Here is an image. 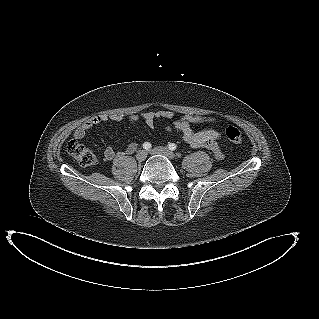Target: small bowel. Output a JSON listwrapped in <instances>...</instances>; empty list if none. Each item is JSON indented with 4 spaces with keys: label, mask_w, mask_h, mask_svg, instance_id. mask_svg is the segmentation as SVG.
<instances>
[{
    "label": "small bowel",
    "mask_w": 319,
    "mask_h": 319,
    "mask_svg": "<svg viewBox=\"0 0 319 319\" xmlns=\"http://www.w3.org/2000/svg\"><path fill=\"white\" fill-rule=\"evenodd\" d=\"M176 116V113L170 110H159V111H145L141 114H133L128 117L132 122L138 121L142 118L145 124L152 128L155 122L161 118L171 119ZM123 119L121 114L113 115H98L90 118L88 121L84 122L74 131V138L79 140L86 136V134L95 126L104 123L108 120L119 122ZM210 120L201 115H184L179 117L175 123L174 127L166 125L164 128L166 132L172 133L177 132L181 139L193 148H207L214 153L218 158H221L222 152L219 146L220 133L214 129H206L198 132H194L192 127L197 124H201L205 121ZM137 144L135 142L129 143L124 154L130 155L136 151ZM116 151L112 147H107L103 153V158L106 161H111L116 156Z\"/></svg>",
    "instance_id": "obj_1"
}]
</instances>
